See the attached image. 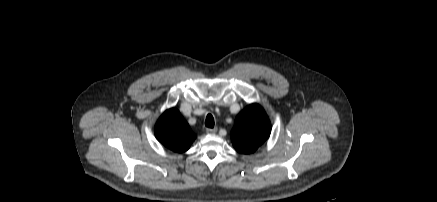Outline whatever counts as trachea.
Listing matches in <instances>:
<instances>
[{
    "label": "trachea",
    "instance_id": "trachea-1",
    "mask_svg": "<svg viewBox=\"0 0 437 202\" xmlns=\"http://www.w3.org/2000/svg\"><path fill=\"white\" fill-rule=\"evenodd\" d=\"M205 126L208 128L214 127V118L211 114H208L205 120Z\"/></svg>",
    "mask_w": 437,
    "mask_h": 202
}]
</instances>
